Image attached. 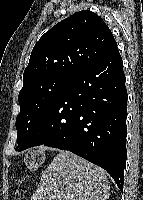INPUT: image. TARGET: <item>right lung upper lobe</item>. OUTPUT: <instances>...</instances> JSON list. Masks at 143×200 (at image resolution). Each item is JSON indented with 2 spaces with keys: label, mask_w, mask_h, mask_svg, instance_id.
Returning a JSON list of instances; mask_svg holds the SVG:
<instances>
[{
  "label": "right lung upper lobe",
  "mask_w": 143,
  "mask_h": 200,
  "mask_svg": "<svg viewBox=\"0 0 143 200\" xmlns=\"http://www.w3.org/2000/svg\"><path fill=\"white\" fill-rule=\"evenodd\" d=\"M118 49L111 30L97 14L80 11L59 22L35 44L23 74V87L52 76H73Z\"/></svg>",
  "instance_id": "right-lung-upper-lobe-1"
}]
</instances>
